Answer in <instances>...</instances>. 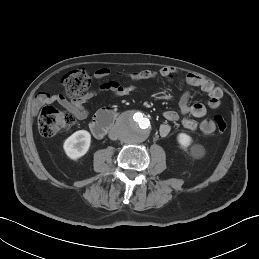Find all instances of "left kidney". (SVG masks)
<instances>
[{"instance_id": "5707ae66", "label": "left kidney", "mask_w": 259, "mask_h": 259, "mask_svg": "<svg viewBox=\"0 0 259 259\" xmlns=\"http://www.w3.org/2000/svg\"><path fill=\"white\" fill-rule=\"evenodd\" d=\"M177 141L183 149H187L192 143V138L186 133H179Z\"/></svg>"}]
</instances>
